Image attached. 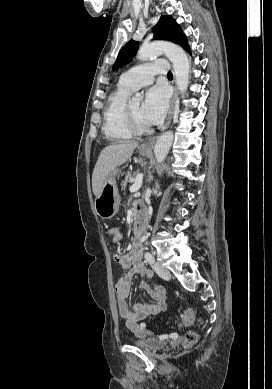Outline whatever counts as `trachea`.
Returning <instances> with one entry per match:
<instances>
[{"label": "trachea", "instance_id": "obj_1", "mask_svg": "<svg viewBox=\"0 0 272 389\" xmlns=\"http://www.w3.org/2000/svg\"><path fill=\"white\" fill-rule=\"evenodd\" d=\"M167 77L173 78V74L171 72H168Z\"/></svg>", "mask_w": 272, "mask_h": 389}]
</instances>
